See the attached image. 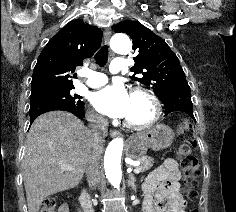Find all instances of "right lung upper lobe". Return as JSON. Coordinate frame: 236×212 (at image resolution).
Masks as SVG:
<instances>
[{
  "mask_svg": "<svg viewBox=\"0 0 236 212\" xmlns=\"http://www.w3.org/2000/svg\"><path fill=\"white\" fill-rule=\"evenodd\" d=\"M102 31L73 20L47 43L38 57L31 81V93L52 87L73 86V74L85 58L99 48Z\"/></svg>",
  "mask_w": 236,
  "mask_h": 212,
  "instance_id": "1",
  "label": "right lung upper lobe"
}]
</instances>
